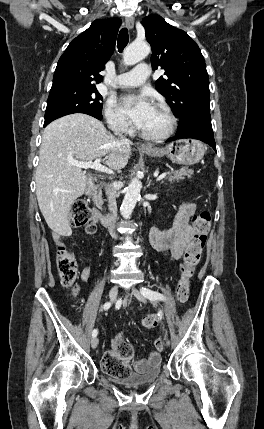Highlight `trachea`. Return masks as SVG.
<instances>
[{"label":"trachea","mask_w":264,"mask_h":429,"mask_svg":"<svg viewBox=\"0 0 264 429\" xmlns=\"http://www.w3.org/2000/svg\"><path fill=\"white\" fill-rule=\"evenodd\" d=\"M129 41L128 30L127 28H122L119 32L117 39V48L119 52H122L126 47Z\"/></svg>","instance_id":"1"}]
</instances>
